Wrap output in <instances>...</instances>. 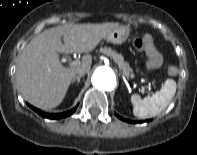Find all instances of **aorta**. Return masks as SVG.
Returning a JSON list of instances; mask_svg holds the SVG:
<instances>
[{
  "label": "aorta",
  "mask_w": 197,
  "mask_h": 155,
  "mask_svg": "<svg viewBox=\"0 0 197 155\" xmlns=\"http://www.w3.org/2000/svg\"><path fill=\"white\" fill-rule=\"evenodd\" d=\"M92 84L102 90H112L116 86L114 71L108 66L96 68L92 75Z\"/></svg>",
  "instance_id": "obj_1"
}]
</instances>
